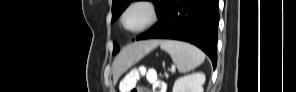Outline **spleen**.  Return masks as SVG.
I'll use <instances>...</instances> for the list:
<instances>
[{
	"label": "spleen",
	"instance_id": "1",
	"mask_svg": "<svg viewBox=\"0 0 296 92\" xmlns=\"http://www.w3.org/2000/svg\"><path fill=\"white\" fill-rule=\"evenodd\" d=\"M160 47L169 53L181 73L194 69L205 59L204 53L189 43L165 40L161 42Z\"/></svg>",
	"mask_w": 296,
	"mask_h": 92
}]
</instances>
